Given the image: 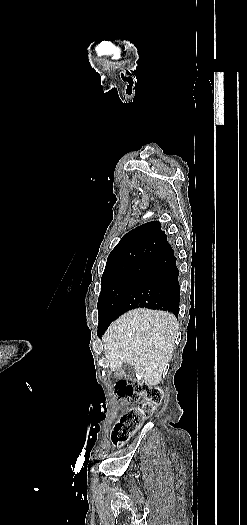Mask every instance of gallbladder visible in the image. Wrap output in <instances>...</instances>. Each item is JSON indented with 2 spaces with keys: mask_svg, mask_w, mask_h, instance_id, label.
Segmentation results:
<instances>
[{
  "mask_svg": "<svg viewBox=\"0 0 247 525\" xmlns=\"http://www.w3.org/2000/svg\"><path fill=\"white\" fill-rule=\"evenodd\" d=\"M119 377L123 379H135V371L132 367V364L124 363L118 373Z\"/></svg>",
  "mask_w": 247,
  "mask_h": 525,
  "instance_id": "bac80fb5",
  "label": "gallbladder"
}]
</instances>
